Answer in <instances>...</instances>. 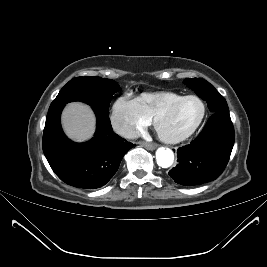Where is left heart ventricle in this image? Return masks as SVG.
I'll list each match as a JSON object with an SVG mask.
<instances>
[{
	"label": "left heart ventricle",
	"instance_id": "left-heart-ventricle-1",
	"mask_svg": "<svg viewBox=\"0 0 267 267\" xmlns=\"http://www.w3.org/2000/svg\"><path fill=\"white\" fill-rule=\"evenodd\" d=\"M201 113L202 105L199 101L187 100L161 121L159 129L165 135L179 136L187 132L197 122Z\"/></svg>",
	"mask_w": 267,
	"mask_h": 267
}]
</instances>
